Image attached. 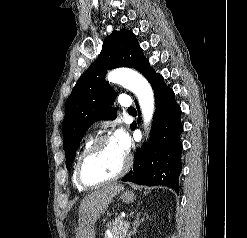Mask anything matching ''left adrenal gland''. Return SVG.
Here are the masks:
<instances>
[{
    "label": "left adrenal gland",
    "mask_w": 247,
    "mask_h": 238,
    "mask_svg": "<svg viewBox=\"0 0 247 238\" xmlns=\"http://www.w3.org/2000/svg\"><path fill=\"white\" fill-rule=\"evenodd\" d=\"M144 220H145L144 218L140 219V214L136 215L135 220L133 222V229H132V231H130L129 236L136 234L137 229L144 222Z\"/></svg>",
    "instance_id": "left-adrenal-gland-1"
}]
</instances>
